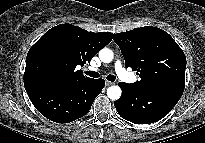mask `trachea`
Masks as SVG:
<instances>
[{
	"label": "trachea",
	"mask_w": 205,
	"mask_h": 143,
	"mask_svg": "<svg viewBox=\"0 0 205 143\" xmlns=\"http://www.w3.org/2000/svg\"><path fill=\"white\" fill-rule=\"evenodd\" d=\"M85 74L92 77V78H98L99 77V73L94 72V71H86ZM106 78H107V80H109L111 82L116 80V77L114 75H111V74L108 75Z\"/></svg>",
	"instance_id": "3493384b"
}]
</instances>
